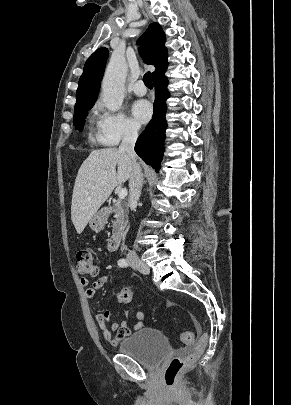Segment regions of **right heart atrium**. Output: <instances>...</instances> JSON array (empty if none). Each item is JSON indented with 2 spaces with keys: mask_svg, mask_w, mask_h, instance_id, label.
I'll use <instances>...</instances> for the list:
<instances>
[{
  "mask_svg": "<svg viewBox=\"0 0 291 405\" xmlns=\"http://www.w3.org/2000/svg\"><path fill=\"white\" fill-rule=\"evenodd\" d=\"M95 114L96 141L100 145L113 147L138 136L139 126L123 112L108 111L99 106Z\"/></svg>",
  "mask_w": 291,
  "mask_h": 405,
  "instance_id": "d8ad5b80",
  "label": "right heart atrium"
}]
</instances>
